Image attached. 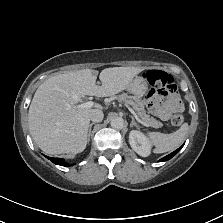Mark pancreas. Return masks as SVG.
Returning <instances> with one entry per match:
<instances>
[{"label": "pancreas", "mask_w": 223, "mask_h": 223, "mask_svg": "<svg viewBox=\"0 0 223 223\" xmlns=\"http://www.w3.org/2000/svg\"><path fill=\"white\" fill-rule=\"evenodd\" d=\"M116 100L118 102H123L124 104L128 103V105H131L136 111H138V115L145 123H152V127L158 128L162 126L161 122L146 114L143 102L137 101V99H134V96H129L127 93H122L116 96Z\"/></svg>", "instance_id": "pancreas-1"}]
</instances>
